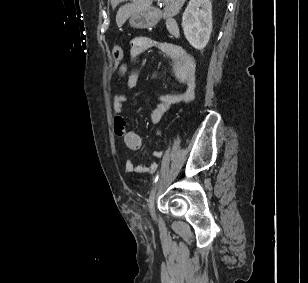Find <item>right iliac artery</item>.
<instances>
[{
    "label": "right iliac artery",
    "instance_id": "1",
    "mask_svg": "<svg viewBox=\"0 0 308 283\" xmlns=\"http://www.w3.org/2000/svg\"><path fill=\"white\" fill-rule=\"evenodd\" d=\"M158 177H159V174H157V175L155 176V178H154V183H156V182H157Z\"/></svg>",
    "mask_w": 308,
    "mask_h": 283
}]
</instances>
